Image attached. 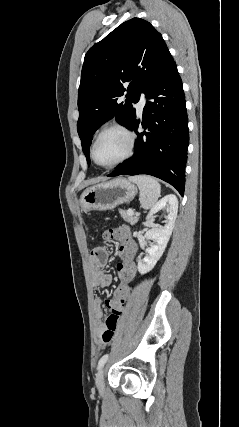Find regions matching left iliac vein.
Returning <instances> with one entry per match:
<instances>
[{"label": "left iliac vein", "instance_id": "obj_1", "mask_svg": "<svg viewBox=\"0 0 239 427\" xmlns=\"http://www.w3.org/2000/svg\"><path fill=\"white\" fill-rule=\"evenodd\" d=\"M96 387L100 394L104 393V368H101L95 378Z\"/></svg>", "mask_w": 239, "mask_h": 427}]
</instances>
